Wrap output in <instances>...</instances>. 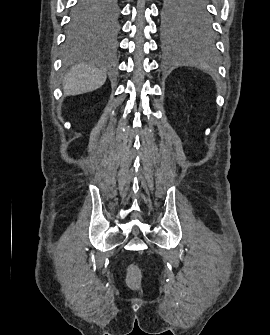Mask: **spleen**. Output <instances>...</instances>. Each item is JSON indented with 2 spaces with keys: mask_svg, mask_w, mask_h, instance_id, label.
Instances as JSON below:
<instances>
[{
  "mask_svg": "<svg viewBox=\"0 0 270 335\" xmlns=\"http://www.w3.org/2000/svg\"><path fill=\"white\" fill-rule=\"evenodd\" d=\"M181 60H185V62H194V64H199L202 70H209L210 68L209 64H206V62H204V60L200 58L196 48L192 50V46L191 48H189V44H184L181 50Z\"/></svg>",
  "mask_w": 270,
  "mask_h": 335,
  "instance_id": "spleen-1",
  "label": "spleen"
}]
</instances>
